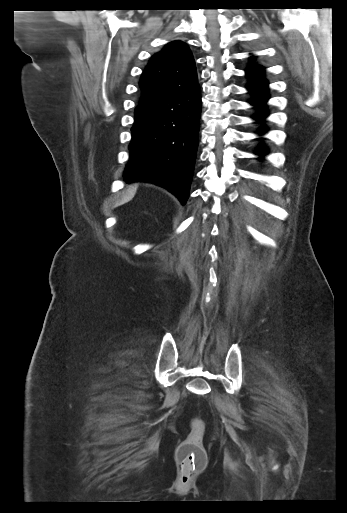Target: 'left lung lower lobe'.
<instances>
[{
	"label": "left lung lower lobe",
	"instance_id": "0a47b994",
	"mask_svg": "<svg viewBox=\"0 0 347 513\" xmlns=\"http://www.w3.org/2000/svg\"><path fill=\"white\" fill-rule=\"evenodd\" d=\"M246 73L250 79L247 88L250 93L254 95V98L250 101V103L256 105L259 110L258 113L253 116V118L262 120L267 116L265 103L269 99L268 83L264 78V68L251 62L249 67L246 69ZM265 131V128L259 130V132ZM258 154H266L265 149L263 147L259 148Z\"/></svg>",
	"mask_w": 347,
	"mask_h": 513
}]
</instances>
